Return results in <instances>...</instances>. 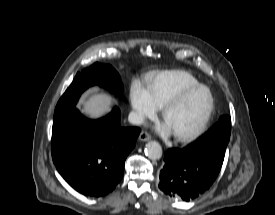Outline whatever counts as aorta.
<instances>
[{
  "label": "aorta",
  "instance_id": "aorta-1",
  "mask_svg": "<svg viewBox=\"0 0 275 215\" xmlns=\"http://www.w3.org/2000/svg\"><path fill=\"white\" fill-rule=\"evenodd\" d=\"M145 154L151 160H159L162 157V147L156 141H150L146 144Z\"/></svg>",
  "mask_w": 275,
  "mask_h": 215
}]
</instances>
